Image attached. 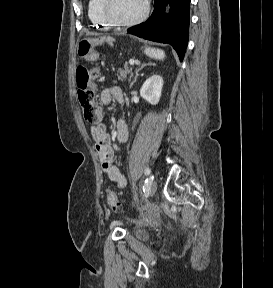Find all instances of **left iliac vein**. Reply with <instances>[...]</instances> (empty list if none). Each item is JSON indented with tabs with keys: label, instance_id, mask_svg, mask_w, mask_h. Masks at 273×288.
<instances>
[{
	"label": "left iliac vein",
	"instance_id": "1",
	"mask_svg": "<svg viewBox=\"0 0 273 288\" xmlns=\"http://www.w3.org/2000/svg\"><path fill=\"white\" fill-rule=\"evenodd\" d=\"M156 191H157V183L155 181H153L149 186V191H148L147 197L150 198V197L154 196Z\"/></svg>",
	"mask_w": 273,
	"mask_h": 288
}]
</instances>
